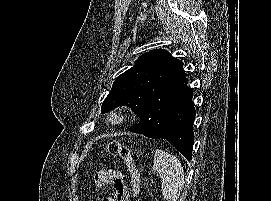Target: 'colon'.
<instances>
[{
    "label": "colon",
    "instance_id": "5ec220e1",
    "mask_svg": "<svg viewBox=\"0 0 271 201\" xmlns=\"http://www.w3.org/2000/svg\"><path fill=\"white\" fill-rule=\"evenodd\" d=\"M104 152L109 156L119 157L124 161L129 171L133 188L137 190L140 185V175L130 148L120 141H111L106 145Z\"/></svg>",
    "mask_w": 271,
    "mask_h": 201
}]
</instances>
